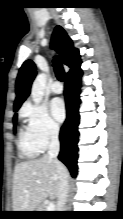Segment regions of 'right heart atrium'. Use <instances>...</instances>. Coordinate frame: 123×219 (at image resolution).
Here are the masks:
<instances>
[{"label": "right heart atrium", "instance_id": "d8ad5b80", "mask_svg": "<svg viewBox=\"0 0 123 219\" xmlns=\"http://www.w3.org/2000/svg\"><path fill=\"white\" fill-rule=\"evenodd\" d=\"M28 121V129L41 150L46 149L59 136V126L51 118L46 107L26 104L21 110Z\"/></svg>", "mask_w": 123, "mask_h": 219}]
</instances>
